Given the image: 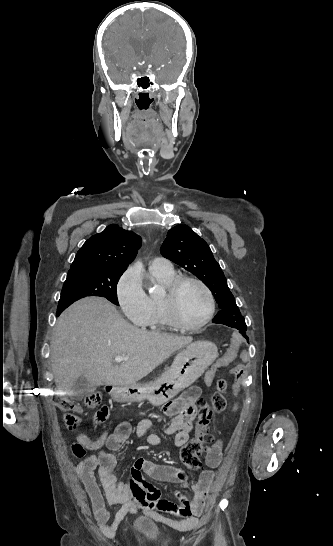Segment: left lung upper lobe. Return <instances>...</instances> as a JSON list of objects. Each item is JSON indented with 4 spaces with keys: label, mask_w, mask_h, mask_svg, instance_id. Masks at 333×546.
<instances>
[{
    "label": "left lung upper lobe",
    "mask_w": 333,
    "mask_h": 546,
    "mask_svg": "<svg viewBox=\"0 0 333 546\" xmlns=\"http://www.w3.org/2000/svg\"><path fill=\"white\" fill-rule=\"evenodd\" d=\"M160 251L163 257L193 273L211 290L220 308L218 314H225L234 327H247L211 249L190 227L171 228Z\"/></svg>",
    "instance_id": "obj_1"
}]
</instances>
